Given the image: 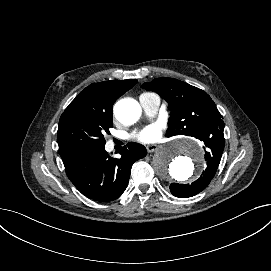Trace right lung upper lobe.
<instances>
[{"mask_svg":"<svg viewBox=\"0 0 271 271\" xmlns=\"http://www.w3.org/2000/svg\"><path fill=\"white\" fill-rule=\"evenodd\" d=\"M137 80H115L94 83L86 87L70 104L69 107L81 103L89 102L100 106L105 110H111L114 102L131 89Z\"/></svg>","mask_w":271,"mask_h":271,"instance_id":"1","label":"right lung upper lobe"}]
</instances>
